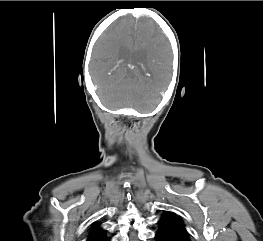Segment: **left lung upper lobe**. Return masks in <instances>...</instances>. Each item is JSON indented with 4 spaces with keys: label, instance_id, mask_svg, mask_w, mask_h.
Masks as SVG:
<instances>
[{
    "label": "left lung upper lobe",
    "instance_id": "obj_1",
    "mask_svg": "<svg viewBox=\"0 0 263 241\" xmlns=\"http://www.w3.org/2000/svg\"><path fill=\"white\" fill-rule=\"evenodd\" d=\"M161 219L172 224L173 226L177 227L181 231H184L187 233L184 224L180 218H178L174 213L172 212H165L162 216Z\"/></svg>",
    "mask_w": 263,
    "mask_h": 241
}]
</instances>
